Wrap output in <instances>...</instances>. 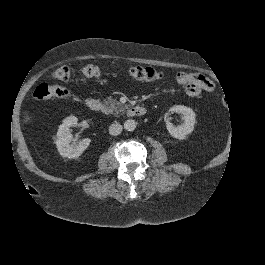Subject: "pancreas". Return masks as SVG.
I'll return each mask as SVG.
<instances>
[{
  "instance_id": "cf45deb5",
  "label": "pancreas",
  "mask_w": 265,
  "mask_h": 265,
  "mask_svg": "<svg viewBox=\"0 0 265 265\" xmlns=\"http://www.w3.org/2000/svg\"><path fill=\"white\" fill-rule=\"evenodd\" d=\"M127 108H129V106L123 105L122 103L115 101L112 97H110L105 100L104 113L105 114L114 113L116 115L119 111L121 113H124Z\"/></svg>"
}]
</instances>
